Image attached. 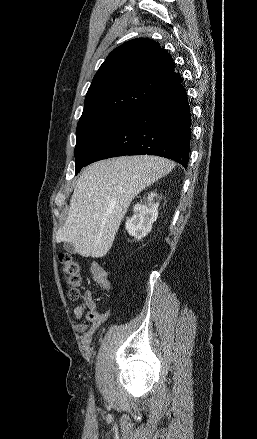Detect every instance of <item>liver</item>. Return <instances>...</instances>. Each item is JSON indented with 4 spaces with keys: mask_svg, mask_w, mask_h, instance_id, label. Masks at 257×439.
Wrapping results in <instances>:
<instances>
[{
    "mask_svg": "<svg viewBox=\"0 0 257 439\" xmlns=\"http://www.w3.org/2000/svg\"><path fill=\"white\" fill-rule=\"evenodd\" d=\"M174 166L165 158L149 155L122 156L89 165L78 179L57 243H71L83 257L105 256L134 197Z\"/></svg>",
    "mask_w": 257,
    "mask_h": 439,
    "instance_id": "1",
    "label": "liver"
}]
</instances>
